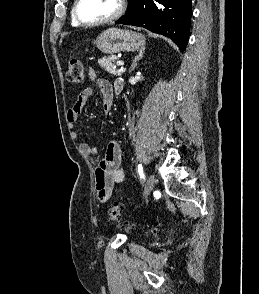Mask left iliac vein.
Instances as JSON below:
<instances>
[{"instance_id":"1","label":"left iliac vein","mask_w":259,"mask_h":294,"mask_svg":"<svg viewBox=\"0 0 259 294\" xmlns=\"http://www.w3.org/2000/svg\"><path fill=\"white\" fill-rule=\"evenodd\" d=\"M155 186V175L154 174H151L149 177H148V181H147V186L144 190V197H147L151 191L153 190Z\"/></svg>"}]
</instances>
